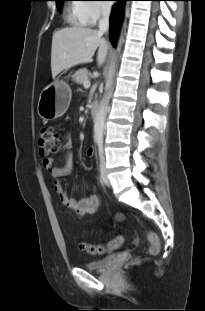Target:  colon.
<instances>
[{"mask_svg": "<svg viewBox=\"0 0 205 311\" xmlns=\"http://www.w3.org/2000/svg\"><path fill=\"white\" fill-rule=\"evenodd\" d=\"M60 148V135L54 127H46L42 130L39 139V150L43 157H48L50 154L55 153ZM147 239L150 242L149 252L152 255L158 254L160 250V239L154 232L147 233ZM124 239L121 235L115 237L105 244H88L81 242L79 247L81 250L92 254L101 255L106 252L119 248Z\"/></svg>", "mask_w": 205, "mask_h": 311, "instance_id": "1", "label": "colon"}]
</instances>
